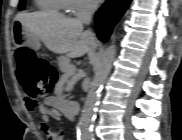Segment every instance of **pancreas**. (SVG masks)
I'll return each instance as SVG.
<instances>
[{
    "label": "pancreas",
    "instance_id": "obj_1",
    "mask_svg": "<svg viewBox=\"0 0 182 140\" xmlns=\"http://www.w3.org/2000/svg\"><path fill=\"white\" fill-rule=\"evenodd\" d=\"M58 66L60 70L64 73L66 76H70V73L73 69H75V66H73L70 63V59L67 57H61L58 59Z\"/></svg>",
    "mask_w": 182,
    "mask_h": 140
}]
</instances>
